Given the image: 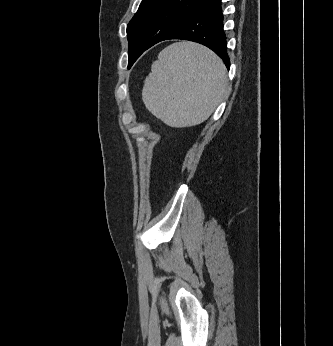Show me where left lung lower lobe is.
Here are the masks:
<instances>
[{
	"label": "left lung lower lobe",
	"mask_w": 333,
	"mask_h": 346,
	"mask_svg": "<svg viewBox=\"0 0 333 346\" xmlns=\"http://www.w3.org/2000/svg\"><path fill=\"white\" fill-rule=\"evenodd\" d=\"M223 28L221 0H207L161 41L183 39L203 44L213 50L229 69L230 60Z\"/></svg>",
	"instance_id": "0a47b994"
}]
</instances>
